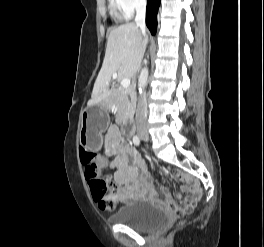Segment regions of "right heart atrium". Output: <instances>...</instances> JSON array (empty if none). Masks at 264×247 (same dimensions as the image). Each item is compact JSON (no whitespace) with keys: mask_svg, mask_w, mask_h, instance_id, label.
Returning <instances> with one entry per match:
<instances>
[{"mask_svg":"<svg viewBox=\"0 0 264 247\" xmlns=\"http://www.w3.org/2000/svg\"><path fill=\"white\" fill-rule=\"evenodd\" d=\"M146 0H112V5L119 10L124 17H130L136 10L143 8Z\"/></svg>","mask_w":264,"mask_h":247,"instance_id":"obj_1","label":"right heart atrium"}]
</instances>
